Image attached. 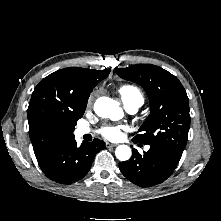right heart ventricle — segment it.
Here are the masks:
<instances>
[{"mask_svg":"<svg viewBox=\"0 0 221 221\" xmlns=\"http://www.w3.org/2000/svg\"><path fill=\"white\" fill-rule=\"evenodd\" d=\"M120 96L125 104L137 103L142 105L144 102L143 93L134 85L126 84L119 88Z\"/></svg>","mask_w":221,"mask_h":221,"instance_id":"1","label":"right heart ventricle"}]
</instances>
